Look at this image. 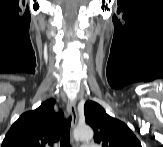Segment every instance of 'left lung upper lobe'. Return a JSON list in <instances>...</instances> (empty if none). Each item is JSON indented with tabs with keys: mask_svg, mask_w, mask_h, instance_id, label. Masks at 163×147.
<instances>
[{
	"mask_svg": "<svg viewBox=\"0 0 163 147\" xmlns=\"http://www.w3.org/2000/svg\"><path fill=\"white\" fill-rule=\"evenodd\" d=\"M84 114L86 123L94 130V141L101 147H141L130 128L109 116L98 103L87 101Z\"/></svg>",
	"mask_w": 163,
	"mask_h": 147,
	"instance_id": "obj_1",
	"label": "left lung upper lobe"
}]
</instances>
